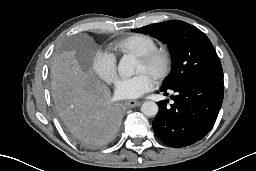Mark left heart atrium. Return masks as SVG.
Listing matches in <instances>:
<instances>
[{"instance_id":"obj_1","label":"left heart atrium","mask_w":256,"mask_h":171,"mask_svg":"<svg viewBox=\"0 0 256 171\" xmlns=\"http://www.w3.org/2000/svg\"><path fill=\"white\" fill-rule=\"evenodd\" d=\"M152 77L139 73L133 77L120 79L115 86V95L120 99H136L153 88Z\"/></svg>"}]
</instances>
